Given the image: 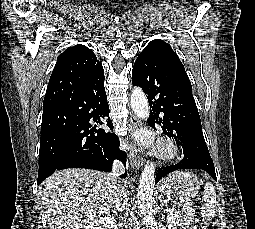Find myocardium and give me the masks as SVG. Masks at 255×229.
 <instances>
[{"label": "myocardium", "mask_w": 255, "mask_h": 229, "mask_svg": "<svg viewBox=\"0 0 255 229\" xmlns=\"http://www.w3.org/2000/svg\"><path fill=\"white\" fill-rule=\"evenodd\" d=\"M156 155L164 159H172L178 155V150L173 143L162 141L157 147Z\"/></svg>", "instance_id": "obj_1"}]
</instances>
